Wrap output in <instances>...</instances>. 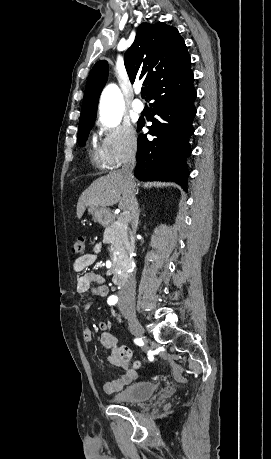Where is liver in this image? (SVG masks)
Listing matches in <instances>:
<instances>
[{
  "mask_svg": "<svg viewBox=\"0 0 271 459\" xmlns=\"http://www.w3.org/2000/svg\"><path fill=\"white\" fill-rule=\"evenodd\" d=\"M131 184L133 180L122 174L120 170L98 178L81 194L77 202V218H82L87 206L106 208L119 202V210H130L133 200Z\"/></svg>",
  "mask_w": 271,
  "mask_h": 459,
  "instance_id": "1",
  "label": "liver"
}]
</instances>
